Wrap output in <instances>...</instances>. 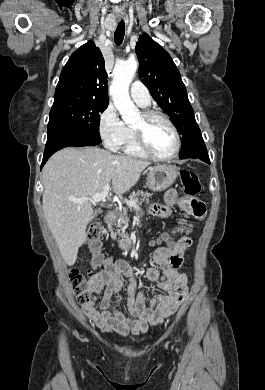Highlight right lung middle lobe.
<instances>
[{
  "label": "right lung middle lobe",
  "mask_w": 265,
  "mask_h": 390,
  "mask_svg": "<svg viewBox=\"0 0 265 390\" xmlns=\"http://www.w3.org/2000/svg\"><path fill=\"white\" fill-rule=\"evenodd\" d=\"M108 104L92 99L56 100L49 115L48 134L54 131H70L101 141L99 118Z\"/></svg>",
  "instance_id": "1"
}]
</instances>
